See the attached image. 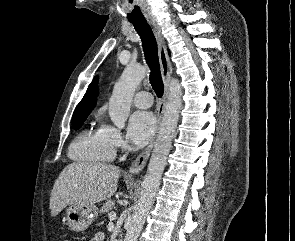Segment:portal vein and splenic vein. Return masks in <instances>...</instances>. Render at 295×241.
Wrapping results in <instances>:
<instances>
[{"label":"portal vein and splenic vein","mask_w":295,"mask_h":241,"mask_svg":"<svg viewBox=\"0 0 295 241\" xmlns=\"http://www.w3.org/2000/svg\"><path fill=\"white\" fill-rule=\"evenodd\" d=\"M109 218L110 219H115L116 218V213L115 212H111V213H109Z\"/></svg>","instance_id":"obj_1"}]
</instances>
